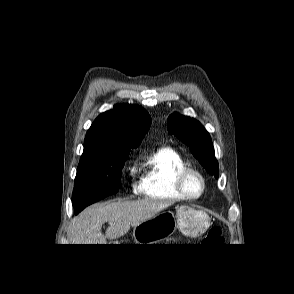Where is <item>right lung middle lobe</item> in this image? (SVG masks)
<instances>
[{
    "instance_id": "1",
    "label": "right lung middle lobe",
    "mask_w": 294,
    "mask_h": 294,
    "mask_svg": "<svg viewBox=\"0 0 294 294\" xmlns=\"http://www.w3.org/2000/svg\"><path fill=\"white\" fill-rule=\"evenodd\" d=\"M130 151H84L78 165L72 201L75 209L115 194L119 190L122 168Z\"/></svg>"
}]
</instances>
